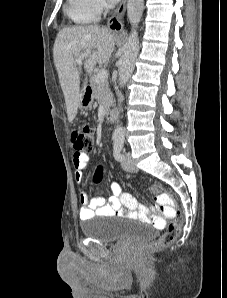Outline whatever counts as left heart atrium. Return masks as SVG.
I'll use <instances>...</instances> for the list:
<instances>
[{
    "mask_svg": "<svg viewBox=\"0 0 227 298\" xmlns=\"http://www.w3.org/2000/svg\"><path fill=\"white\" fill-rule=\"evenodd\" d=\"M108 1L111 2V3H116L119 0H108Z\"/></svg>",
    "mask_w": 227,
    "mask_h": 298,
    "instance_id": "obj_1",
    "label": "left heart atrium"
}]
</instances>
